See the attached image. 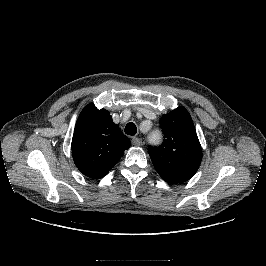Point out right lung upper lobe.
I'll return each instance as SVG.
<instances>
[{
    "label": "right lung upper lobe",
    "instance_id": "1",
    "mask_svg": "<svg viewBox=\"0 0 266 266\" xmlns=\"http://www.w3.org/2000/svg\"><path fill=\"white\" fill-rule=\"evenodd\" d=\"M130 145L107 110H98L93 104L82 110L71 148L75 165L84 175L92 179L104 177Z\"/></svg>",
    "mask_w": 266,
    "mask_h": 266
}]
</instances>
